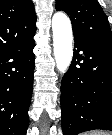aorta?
<instances>
[{"instance_id": "obj_1", "label": "aorta", "mask_w": 112, "mask_h": 135, "mask_svg": "<svg viewBox=\"0 0 112 135\" xmlns=\"http://www.w3.org/2000/svg\"><path fill=\"white\" fill-rule=\"evenodd\" d=\"M54 58L57 69L66 73L73 56V34L70 19L63 12H56L52 18Z\"/></svg>"}]
</instances>
